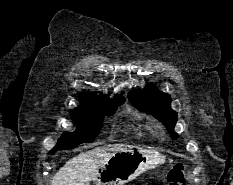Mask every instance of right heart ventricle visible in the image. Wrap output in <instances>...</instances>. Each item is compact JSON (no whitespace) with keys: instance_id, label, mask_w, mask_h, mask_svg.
I'll list each match as a JSON object with an SVG mask.
<instances>
[{"instance_id":"e07e8e85","label":"right heart ventricle","mask_w":233,"mask_h":185,"mask_svg":"<svg viewBox=\"0 0 233 185\" xmlns=\"http://www.w3.org/2000/svg\"><path fill=\"white\" fill-rule=\"evenodd\" d=\"M134 129L139 136H144L146 134L148 127L145 123L136 121L134 124Z\"/></svg>"}]
</instances>
